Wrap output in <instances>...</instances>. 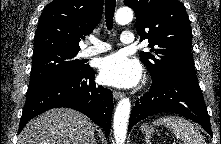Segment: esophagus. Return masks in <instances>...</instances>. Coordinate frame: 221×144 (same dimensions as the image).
<instances>
[{"mask_svg":"<svg viewBox=\"0 0 221 144\" xmlns=\"http://www.w3.org/2000/svg\"><path fill=\"white\" fill-rule=\"evenodd\" d=\"M113 96L115 99H120L123 97V93L119 91H113Z\"/></svg>","mask_w":221,"mask_h":144,"instance_id":"34e87169","label":"esophagus"}]
</instances>
